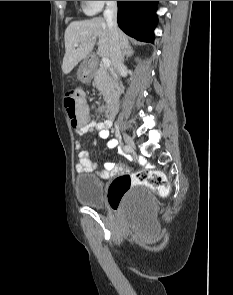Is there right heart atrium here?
<instances>
[{"mask_svg": "<svg viewBox=\"0 0 233 295\" xmlns=\"http://www.w3.org/2000/svg\"><path fill=\"white\" fill-rule=\"evenodd\" d=\"M114 1H84V12L88 15L98 13L102 8Z\"/></svg>", "mask_w": 233, "mask_h": 295, "instance_id": "1", "label": "right heart atrium"}]
</instances>
